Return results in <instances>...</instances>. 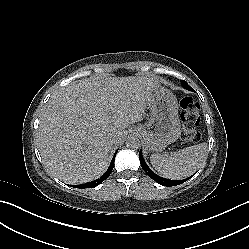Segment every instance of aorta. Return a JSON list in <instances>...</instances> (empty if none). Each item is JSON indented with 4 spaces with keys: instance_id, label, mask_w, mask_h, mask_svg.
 Instances as JSON below:
<instances>
[{
    "instance_id": "762f6f07",
    "label": "aorta",
    "mask_w": 249,
    "mask_h": 249,
    "mask_svg": "<svg viewBox=\"0 0 249 249\" xmlns=\"http://www.w3.org/2000/svg\"><path fill=\"white\" fill-rule=\"evenodd\" d=\"M126 147L130 149H138L140 147V140L137 137H128L126 139Z\"/></svg>"
}]
</instances>
